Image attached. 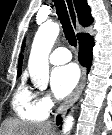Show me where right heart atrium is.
I'll return each mask as SVG.
<instances>
[{
    "mask_svg": "<svg viewBox=\"0 0 112 135\" xmlns=\"http://www.w3.org/2000/svg\"><path fill=\"white\" fill-rule=\"evenodd\" d=\"M38 100L41 107L46 111L51 110L52 107L54 106V99L51 97L49 93L46 92L39 93Z\"/></svg>",
    "mask_w": 112,
    "mask_h": 135,
    "instance_id": "right-heart-atrium-1",
    "label": "right heart atrium"
}]
</instances>
